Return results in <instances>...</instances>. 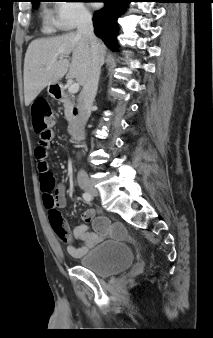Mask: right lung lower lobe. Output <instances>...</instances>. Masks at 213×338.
Listing matches in <instances>:
<instances>
[{
	"label": "right lung lower lobe",
	"instance_id": "1",
	"mask_svg": "<svg viewBox=\"0 0 213 338\" xmlns=\"http://www.w3.org/2000/svg\"><path fill=\"white\" fill-rule=\"evenodd\" d=\"M132 0H103L105 6L95 12L93 25L95 33L113 51L118 44L115 39L117 33V19L120 17Z\"/></svg>",
	"mask_w": 213,
	"mask_h": 338
}]
</instances>
